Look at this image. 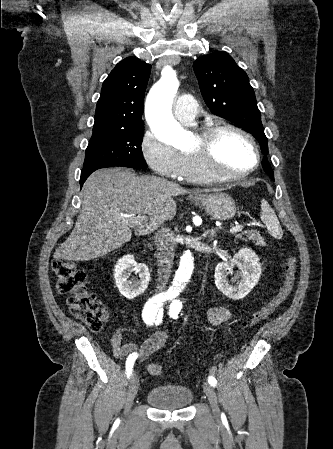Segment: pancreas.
<instances>
[{
    "label": "pancreas",
    "instance_id": "1",
    "mask_svg": "<svg viewBox=\"0 0 333 449\" xmlns=\"http://www.w3.org/2000/svg\"><path fill=\"white\" fill-rule=\"evenodd\" d=\"M243 236H246L247 239L251 240L252 242H254L255 245L263 246L265 244L263 238L260 235V233L255 231V230L244 231L242 234H239L236 237L244 239Z\"/></svg>",
    "mask_w": 333,
    "mask_h": 449
}]
</instances>
